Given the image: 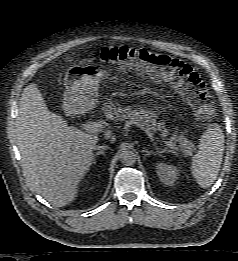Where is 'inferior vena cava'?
I'll list each match as a JSON object with an SVG mask.
<instances>
[{
  "mask_svg": "<svg viewBox=\"0 0 238 261\" xmlns=\"http://www.w3.org/2000/svg\"><path fill=\"white\" fill-rule=\"evenodd\" d=\"M93 149H94V150H100V149H101V146L95 145V146L93 147Z\"/></svg>",
  "mask_w": 238,
  "mask_h": 261,
  "instance_id": "obj_1",
  "label": "inferior vena cava"
}]
</instances>
